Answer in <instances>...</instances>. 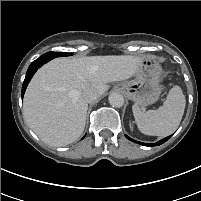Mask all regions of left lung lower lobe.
I'll return each mask as SVG.
<instances>
[{
    "instance_id": "left-lung-lower-lobe-1",
    "label": "left lung lower lobe",
    "mask_w": 201,
    "mask_h": 201,
    "mask_svg": "<svg viewBox=\"0 0 201 201\" xmlns=\"http://www.w3.org/2000/svg\"><path fill=\"white\" fill-rule=\"evenodd\" d=\"M126 136V138L127 139H129L130 141H133V142H135V143H139V144H141V145H146V146H157V145H161V144H163L164 142H166L171 136H168V137H166V138H164V139H162V140H160V141H158V142H156V143H141V142H138V141H135V140H133V139H131L130 137H128L127 135H125Z\"/></svg>"
}]
</instances>
